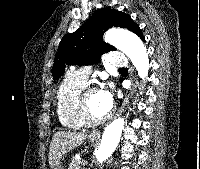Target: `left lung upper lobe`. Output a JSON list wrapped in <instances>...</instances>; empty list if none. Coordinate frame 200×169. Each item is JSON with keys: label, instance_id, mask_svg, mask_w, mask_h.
I'll use <instances>...</instances> for the list:
<instances>
[{"label": "left lung upper lobe", "instance_id": "1", "mask_svg": "<svg viewBox=\"0 0 200 169\" xmlns=\"http://www.w3.org/2000/svg\"><path fill=\"white\" fill-rule=\"evenodd\" d=\"M111 27L127 28L144 39L140 27L129 15L114 9H100L81 28L62 38L52 68L53 79L64 73L66 65L95 64L104 52L116 50L102 40L104 32Z\"/></svg>", "mask_w": 200, "mask_h": 169}]
</instances>
